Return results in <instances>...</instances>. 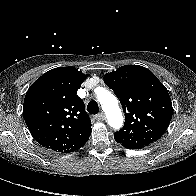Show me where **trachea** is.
Here are the masks:
<instances>
[{
	"mask_svg": "<svg viewBox=\"0 0 196 196\" xmlns=\"http://www.w3.org/2000/svg\"><path fill=\"white\" fill-rule=\"evenodd\" d=\"M87 111L93 115L97 114L99 112L98 103L96 101L89 102L87 105Z\"/></svg>",
	"mask_w": 196,
	"mask_h": 196,
	"instance_id": "obj_1",
	"label": "trachea"
}]
</instances>
